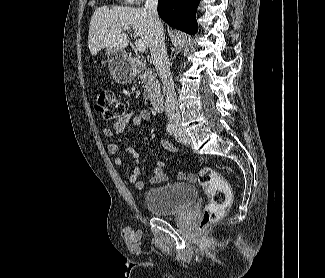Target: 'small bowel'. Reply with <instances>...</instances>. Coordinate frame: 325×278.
Instances as JSON below:
<instances>
[{
  "label": "small bowel",
  "instance_id": "obj_1",
  "mask_svg": "<svg viewBox=\"0 0 325 278\" xmlns=\"http://www.w3.org/2000/svg\"><path fill=\"white\" fill-rule=\"evenodd\" d=\"M150 113L147 110H140L138 112L130 111L126 115H124L121 119H119L113 128H104L102 133L107 138H112L115 135L124 134L127 130L128 124L132 122L134 125H140L144 122L150 120ZM163 147L168 149L171 152H178L179 150L173 146H171L168 142H162ZM107 150L109 154L113 155V162L117 166H121L123 164L122 157L119 156V147L115 143H109L107 145ZM127 153L132 158V170L129 174V181L135 185L137 189L143 188V183L139 180L140 177V165H141V157L140 154L132 147L127 148ZM165 163L162 160L156 162L153 170V175L150 179V183L153 185L161 184L169 180V176L164 172ZM178 179H184L185 175L180 173L177 175Z\"/></svg>",
  "mask_w": 325,
  "mask_h": 278
}]
</instances>
